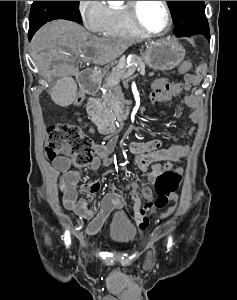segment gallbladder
<instances>
[{
	"mask_svg": "<svg viewBox=\"0 0 237 300\" xmlns=\"http://www.w3.org/2000/svg\"><path fill=\"white\" fill-rule=\"evenodd\" d=\"M52 101L56 105H73L77 87L74 84V76H60L59 82L51 88Z\"/></svg>",
	"mask_w": 237,
	"mask_h": 300,
	"instance_id": "1",
	"label": "gallbladder"
}]
</instances>
